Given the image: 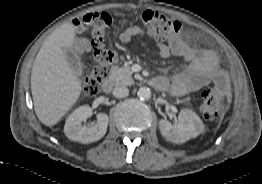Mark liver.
<instances>
[{
	"label": "liver",
	"mask_w": 262,
	"mask_h": 184,
	"mask_svg": "<svg viewBox=\"0 0 262 184\" xmlns=\"http://www.w3.org/2000/svg\"><path fill=\"white\" fill-rule=\"evenodd\" d=\"M75 35L71 23L61 25L45 40L33 63L34 110L45 126L56 125L77 102L82 91L80 79L65 58V49L74 46Z\"/></svg>",
	"instance_id": "liver-1"
}]
</instances>
